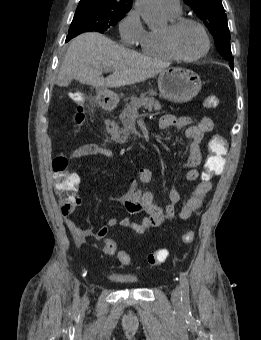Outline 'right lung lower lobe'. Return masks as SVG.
Returning a JSON list of instances; mask_svg holds the SVG:
<instances>
[{
	"mask_svg": "<svg viewBox=\"0 0 261 340\" xmlns=\"http://www.w3.org/2000/svg\"><path fill=\"white\" fill-rule=\"evenodd\" d=\"M82 32H73V33H69L66 37V41L65 42H68L70 39H72L73 37L81 34Z\"/></svg>",
	"mask_w": 261,
	"mask_h": 340,
	"instance_id": "1",
	"label": "right lung lower lobe"
}]
</instances>
